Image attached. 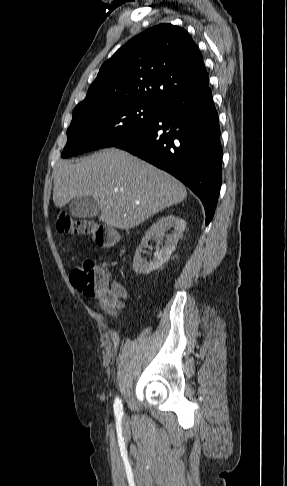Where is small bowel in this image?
<instances>
[{"mask_svg":"<svg viewBox=\"0 0 287 486\" xmlns=\"http://www.w3.org/2000/svg\"><path fill=\"white\" fill-rule=\"evenodd\" d=\"M111 289L117 296V301L112 304L100 301L99 304L106 313L117 315L125 307L126 301L128 300V293L126 288L117 281L111 283Z\"/></svg>","mask_w":287,"mask_h":486,"instance_id":"1","label":"small bowel"}]
</instances>
